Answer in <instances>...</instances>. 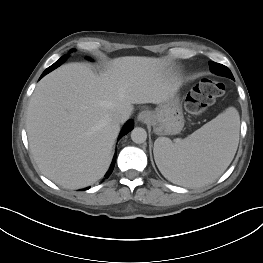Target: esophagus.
Wrapping results in <instances>:
<instances>
[{"label":"esophagus","mask_w":263,"mask_h":263,"mask_svg":"<svg viewBox=\"0 0 263 263\" xmlns=\"http://www.w3.org/2000/svg\"><path fill=\"white\" fill-rule=\"evenodd\" d=\"M149 116H150L149 112L144 110V111H141V112L138 114L137 119H138V121H140V122H146V121L149 119Z\"/></svg>","instance_id":"34e87169"}]
</instances>
